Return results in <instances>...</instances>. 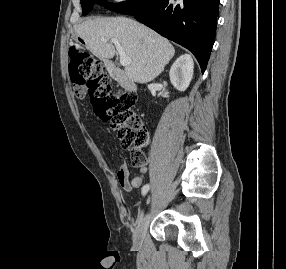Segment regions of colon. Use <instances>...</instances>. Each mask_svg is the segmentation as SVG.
<instances>
[{"mask_svg":"<svg viewBox=\"0 0 286 269\" xmlns=\"http://www.w3.org/2000/svg\"><path fill=\"white\" fill-rule=\"evenodd\" d=\"M68 55L75 94L79 95L82 87L88 88L95 114L118 129L123 146L131 153L132 165L140 168L146 163L143 148L148 142V133L141 119L131 111L134 97L114 89L102 62L78 45H71Z\"/></svg>","mask_w":286,"mask_h":269,"instance_id":"obj_1","label":"colon"}]
</instances>
